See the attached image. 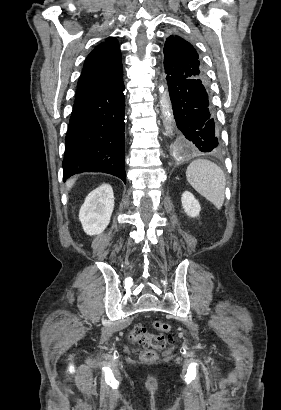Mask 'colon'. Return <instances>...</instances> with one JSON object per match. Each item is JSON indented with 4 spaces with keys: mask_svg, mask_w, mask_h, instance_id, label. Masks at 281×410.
<instances>
[{
    "mask_svg": "<svg viewBox=\"0 0 281 410\" xmlns=\"http://www.w3.org/2000/svg\"><path fill=\"white\" fill-rule=\"evenodd\" d=\"M151 326L159 333H151L144 325H135L130 331L131 340L143 348L140 357L144 361H153L156 358L155 350L164 349L173 341L167 334L171 330L170 324L155 320Z\"/></svg>",
    "mask_w": 281,
    "mask_h": 410,
    "instance_id": "obj_1",
    "label": "colon"
}]
</instances>
